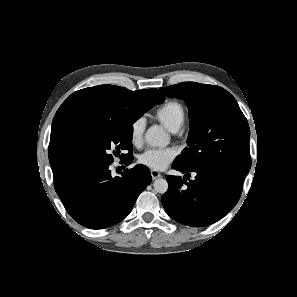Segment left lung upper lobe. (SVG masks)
<instances>
[{"mask_svg": "<svg viewBox=\"0 0 297 297\" xmlns=\"http://www.w3.org/2000/svg\"><path fill=\"white\" fill-rule=\"evenodd\" d=\"M169 98L184 99L190 119L186 147L174 163L226 177L239 185L251 167L250 129L235 98L225 89L184 82L160 88Z\"/></svg>", "mask_w": 297, "mask_h": 297, "instance_id": "5c2ea615", "label": "left lung upper lobe"}]
</instances>
